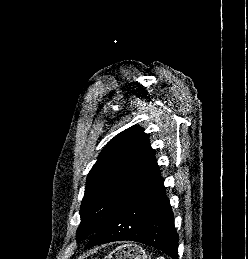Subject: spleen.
<instances>
[{
	"mask_svg": "<svg viewBox=\"0 0 248 259\" xmlns=\"http://www.w3.org/2000/svg\"><path fill=\"white\" fill-rule=\"evenodd\" d=\"M157 259H165L163 256L158 257Z\"/></svg>",
	"mask_w": 248,
	"mask_h": 259,
	"instance_id": "spleen-1",
	"label": "spleen"
}]
</instances>
